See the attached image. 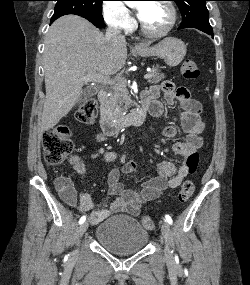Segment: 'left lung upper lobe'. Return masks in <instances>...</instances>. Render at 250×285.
<instances>
[{
    "label": "left lung upper lobe",
    "mask_w": 250,
    "mask_h": 285,
    "mask_svg": "<svg viewBox=\"0 0 250 285\" xmlns=\"http://www.w3.org/2000/svg\"><path fill=\"white\" fill-rule=\"evenodd\" d=\"M182 14V23L178 29L197 28L212 30L209 13L206 8L208 0H173Z\"/></svg>",
    "instance_id": "left-lung-upper-lobe-1"
}]
</instances>
